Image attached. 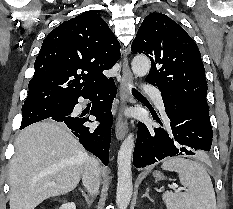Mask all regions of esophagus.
Instances as JSON below:
<instances>
[{
	"instance_id": "34e87169",
	"label": "esophagus",
	"mask_w": 233,
	"mask_h": 209,
	"mask_svg": "<svg viewBox=\"0 0 233 209\" xmlns=\"http://www.w3.org/2000/svg\"><path fill=\"white\" fill-rule=\"evenodd\" d=\"M133 75L128 65V58L125 55L122 62V78L120 83V108L121 111L124 107L131 102L130 87L132 85ZM128 131V122L123 117L122 113L119 114L115 133L118 140H122Z\"/></svg>"
}]
</instances>
